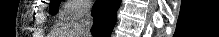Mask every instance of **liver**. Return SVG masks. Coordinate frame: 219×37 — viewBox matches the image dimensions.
Returning a JSON list of instances; mask_svg holds the SVG:
<instances>
[{"mask_svg":"<svg viewBox=\"0 0 219 37\" xmlns=\"http://www.w3.org/2000/svg\"><path fill=\"white\" fill-rule=\"evenodd\" d=\"M77 29H78V24L72 23L68 24L65 30H61L58 35H61L59 37H79L77 36ZM64 35H71V36H64ZM76 35V36H72Z\"/></svg>","mask_w":219,"mask_h":37,"instance_id":"obj_1","label":"liver"}]
</instances>
